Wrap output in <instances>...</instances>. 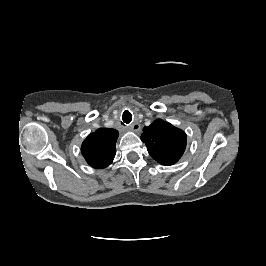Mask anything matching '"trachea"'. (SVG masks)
<instances>
[{
    "label": "trachea",
    "instance_id": "trachea-1",
    "mask_svg": "<svg viewBox=\"0 0 266 266\" xmlns=\"http://www.w3.org/2000/svg\"><path fill=\"white\" fill-rule=\"evenodd\" d=\"M122 120L124 123L129 124L132 121V114L128 110H125L122 115Z\"/></svg>",
    "mask_w": 266,
    "mask_h": 266
}]
</instances>
